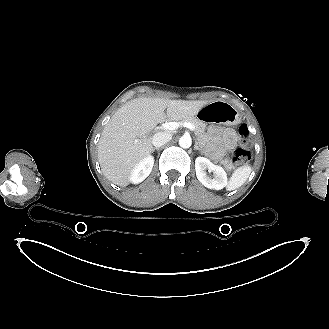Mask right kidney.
<instances>
[{
	"label": "right kidney",
	"mask_w": 329,
	"mask_h": 329,
	"mask_svg": "<svg viewBox=\"0 0 329 329\" xmlns=\"http://www.w3.org/2000/svg\"><path fill=\"white\" fill-rule=\"evenodd\" d=\"M153 165L154 158L152 156L145 157L133 168L130 175V182L133 184L142 182L151 173Z\"/></svg>",
	"instance_id": "1"
}]
</instances>
